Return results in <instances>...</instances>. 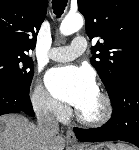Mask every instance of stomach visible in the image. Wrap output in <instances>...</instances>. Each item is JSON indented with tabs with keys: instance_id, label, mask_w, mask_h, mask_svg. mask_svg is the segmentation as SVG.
I'll use <instances>...</instances> for the list:
<instances>
[{
	"instance_id": "0dacf381",
	"label": "stomach",
	"mask_w": 139,
	"mask_h": 150,
	"mask_svg": "<svg viewBox=\"0 0 139 150\" xmlns=\"http://www.w3.org/2000/svg\"><path fill=\"white\" fill-rule=\"evenodd\" d=\"M85 150H118L117 147L110 143H101L94 145L90 148H86Z\"/></svg>"
}]
</instances>
